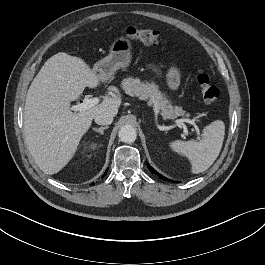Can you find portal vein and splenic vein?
<instances>
[{
  "mask_svg": "<svg viewBox=\"0 0 265 265\" xmlns=\"http://www.w3.org/2000/svg\"><path fill=\"white\" fill-rule=\"evenodd\" d=\"M98 103H99V99H98L97 97L89 98L88 96H86V97L84 98V100H83V103H80V104H78V105H74V106H72V107H71V110L82 112V111H85V110H87V109H89V108H91V107L97 105ZM189 122H190L191 124H194L193 121H189ZM175 123H176L179 127L183 128V132H184L185 135L188 134V130H187L186 126L184 125L182 119H178V120H176ZM196 130H197V132H199L198 129H196Z\"/></svg>",
  "mask_w": 265,
  "mask_h": 265,
  "instance_id": "1",
  "label": "portal vein and splenic vein"
}]
</instances>
